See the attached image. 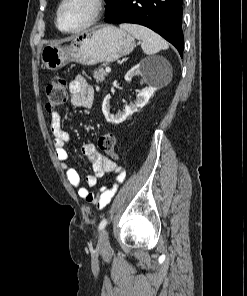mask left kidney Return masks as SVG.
<instances>
[{"label":"left kidney","mask_w":247,"mask_h":296,"mask_svg":"<svg viewBox=\"0 0 247 296\" xmlns=\"http://www.w3.org/2000/svg\"><path fill=\"white\" fill-rule=\"evenodd\" d=\"M161 66H168V62L163 58L143 59L139 64L126 73V81H131L134 76L140 75L148 83V87L137 94L134 103L125 106V109L122 112H118L115 115L110 112L111 97L110 95H107L104 98L102 105V111L107 122L114 124L122 123L133 113L137 112L138 109L144 107L148 103L150 97L158 89L156 77Z\"/></svg>","instance_id":"1"}]
</instances>
